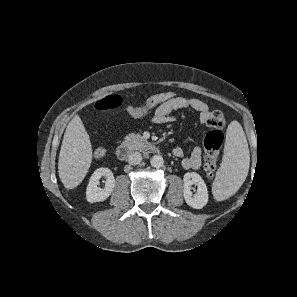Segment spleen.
Returning a JSON list of instances; mask_svg holds the SVG:
<instances>
[{"label": "spleen", "instance_id": "spleen-1", "mask_svg": "<svg viewBox=\"0 0 297 297\" xmlns=\"http://www.w3.org/2000/svg\"><path fill=\"white\" fill-rule=\"evenodd\" d=\"M250 163L248 143L243 128L232 121L226 133L224 156L214 182V196L221 198L235 193L246 179ZM217 183L220 190H216Z\"/></svg>", "mask_w": 297, "mask_h": 297}]
</instances>
